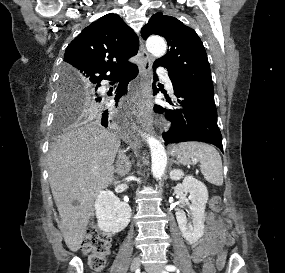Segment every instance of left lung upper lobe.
Masks as SVG:
<instances>
[{
  "instance_id": "1",
  "label": "left lung upper lobe",
  "mask_w": 285,
  "mask_h": 273,
  "mask_svg": "<svg viewBox=\"0 0 285 273\" xmlns=\"http://www.w3.org/2000/svg\"><path fill=\"white\" fill-rule=\"evenodd\" d=\"M151 34L161 35L167 40V54L154 64L165 67L173 81L184 86L213 89L206 51L193 29L172 16L158 12L141 30L144 39Z\"/></svg>"
}]
</instances>
